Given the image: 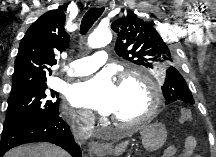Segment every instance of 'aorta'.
I'll return each mask as SVG.
<instances>
[{"label": "aorta", "instance_id": "obj_1", "mask_svg": "<svg viewBox=\"0 0 216 157\" xmlns=\"http://www.w3.org/2000/svg\"><path fill=\"white\" fill-rule=\"evenodd\" d=\"M112 39L111 32L108 29H96L88 37V45L91 48H100L106 46Z\"/></svg>", "mask_w": 216, "mask_h": 157}]
</instances>
